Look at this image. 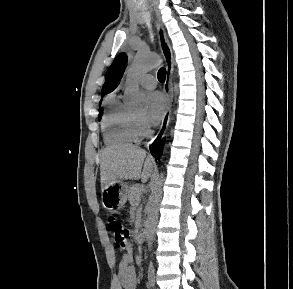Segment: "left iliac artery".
I'll return each instance as SVG.
<instances>
[{
  "mask_svg": "<svg viewBox=\"0 0 293 289\" xmlns=\"http://www.w3.org/2000/svg\"><path fill=\"white\" fill-rule=\"evenodd\" d=\"M148 283L151 287L155 285V269L152 261H150L148 267Z\"/></svg>",
  "mask_w": 293,
  "mask_h": 289,
  "instance_id": "left-iliac-artery-1",
  "label": "left iliac artery"
}]
</instances>
